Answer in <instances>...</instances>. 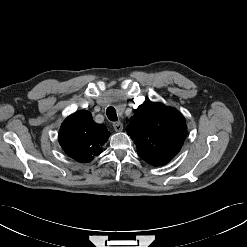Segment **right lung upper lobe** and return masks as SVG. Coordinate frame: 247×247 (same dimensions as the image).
<instances>
[{
    "label": "right lung upper lobe",
    "mask_w": 247,
    "mask_h": 247,
    "mask_svg": "<svg viewBox=\"0 0 247 247\" xmlns=\"http://www.w3.org/2000/svg\"><path fill=\"white\" fill-rule=\"evenodd\" d=\"M109 137L104 124H96L88 111L70 115L61 125L59 142L64 151L79 162H90L102 152Z\"/></svg>",
    "instance_id": "cb5924a9"
}]
</instances>
